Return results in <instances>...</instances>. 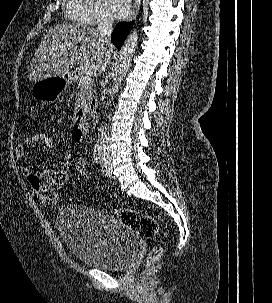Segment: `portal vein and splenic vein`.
I'll return each instance as SVG.
<instances>
[{
	"instance_id": "obj_1",
	"label": "portal vein and splenic vein",
	"mask_w": 272,
	"mask_h": 303,
	"mask_svg": "<svg viewBox=\"0 0 272 303\" xmlns=\"http://www.w3.org/2000/svg\"><path fill=\"white\" fill-rule=\"evenodd\" d=\"M79 81H80L81 84L86 85V86L92 84V79L88 75H82V76H80Z\"/></svg>"
}]
</instances>
